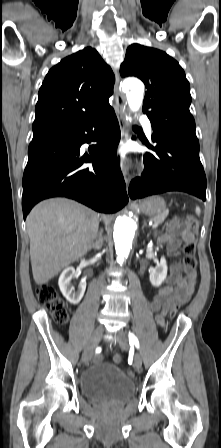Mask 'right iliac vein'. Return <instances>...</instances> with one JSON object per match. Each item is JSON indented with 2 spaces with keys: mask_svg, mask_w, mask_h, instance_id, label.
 Wrapping results in <instances>:
<instances>
[{
  "mask_svg": "<svg viewBox=\"0 0 221 448\" xmlns=\"http://www.w3.org/2000/svg\"><path fill=\"white\" fill-rule=\"evenodd\" d=\"M104 332V328L102 326H98L90 337L82 355V360L84 363H88L92 358L95 348L97 347L102 335Z\"/></svg>",
  "mask_w": 221,
  "mask_h": 448,
  "instance_id": "63e3f726",
  "label": "right iliac vein"
}]
</instances>
